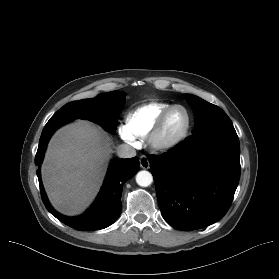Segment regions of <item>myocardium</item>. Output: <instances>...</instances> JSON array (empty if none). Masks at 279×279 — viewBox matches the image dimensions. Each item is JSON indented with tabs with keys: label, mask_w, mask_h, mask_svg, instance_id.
I'll return each mask as SVG.
<instances>
[{
	"label": "myocardium",
	"mask_w": 279,
	"mask_h": 279,
	"mask_svg": "<svg viewBox=\"0 0 279 279\" xmlns=\"http://www.w3.org/2000/svg\"><path fill=\"white\" fill-rule=\"evenodd\" d=\"M175 109H182L185 112L186 115L185 127L180 132V134L175 138L170 140H164L161 137L162 129L164 127L168 115ZM191 125H192V117L189 110L183 105H179V104L171 105L159 115L158 119L156 120L155 124L153 125L152 129L150 130L147 136L148 142L151 145V147L156 150L159 151L172 150L185 141V139L187 138L190 132Z\"/></svg>",
	"instance_id": "1"
}]
</instances>
